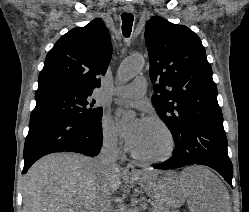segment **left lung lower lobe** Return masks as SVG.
<instances>
[{
    "label": "left lung lower lobe",
    "mask_w": 249,
    "mask_h": 212,
    "mask_svg": "<svg viewBox=\"0 0 249 212\" xmlns=\"http://www.w3.org/2000/svg\"><path fill=\"white\" fill-rule=\"evenodd\" d=\"M173 138V156L154 168L174 169L192 164L205 165L216 170L232 185L233 167L227 152L223 121L184 124L180 136Z\"/></svg>",
    "instance_id": "1"
}]
</instances>
